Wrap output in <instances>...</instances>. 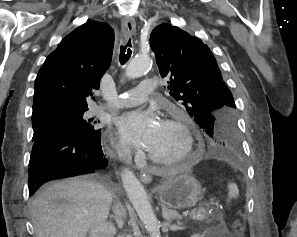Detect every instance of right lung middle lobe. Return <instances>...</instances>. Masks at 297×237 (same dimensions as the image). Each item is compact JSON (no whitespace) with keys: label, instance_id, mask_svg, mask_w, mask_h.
<instances>
[{"label":"right lung middle lobe","instance_id":"dd1d6c3e","mask_svg":"<svg viewBox=\"0 0 297 237\" xmlns=\"http://www.w3.org/2000/svg\"><path fill=\"white\" fill-rule=\"evenodd\" d=\"M83 112L59 111L49 113L36 120H32V126L35 137L41 131L54 127H64L84 139H94L101 132L100 129H94L92 119L85 120ZM96 123V122H94Z\"/></svg>","mask_w":297,"mask_h":237}]
</instances>
